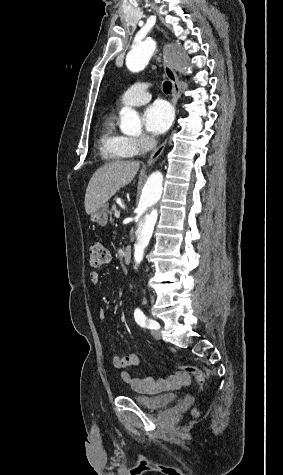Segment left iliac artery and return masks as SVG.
<instances>
[{"mask_svg":"<svg viewBox=\"0 0 283 475\" xmlns=\"http://www.w3.org/2000/svg\"><path fill=\"white\" fill-rule=\"evenodd\" d=\"M134 318L135 321L142 327H147V328H152V329H158L159 323H157L154 320L148 319L144 313L140 309H135L134 311Z\"/></svg>","mask_w":283,"mask_h":475,"instance_id":"left-iliac-artery-1","label":"left iliac artery"}]
</instances>
